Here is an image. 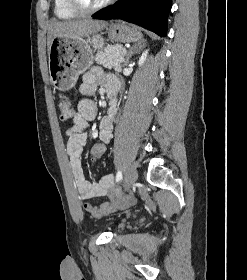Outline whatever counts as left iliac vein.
Returning a JSON list of instances; mask_svg holds the SVG:
<instances>
[{
    "label": "left iliac vein",
    "mask_w": 247,
    "mask_h": 280,
    "mask_svg": "<svg viewBox=\"0 0 247 280\" xmlns=\"http://www.w3.org/2000/svg\"><path fill=\"white\" fill-rule=\"evenodd\" d=\"M138 178V173L136 167L131 166L125 173V190L128 191L131 186L136 182Z\"/></svg>",
    "instance_id": "1"
}]
</instances>
